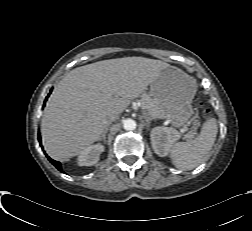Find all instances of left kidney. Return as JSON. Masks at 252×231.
<instances>
[{"label": "left kidney", "instance_id": "obj_1", "mask_svg": "<svg viewBox=\"0 0 252 231\" xmlns=\"http://www.w3.org/2000/svg\"><path fill=\"white\" fill-rule=\"evenodd\" d=\"M153 150L161 157L168 154L172 144L180 138L179 133L168 127H155L150 134Z\"/></svg>", "mask_w": 252, "mask_h": 231}]
</instances>
